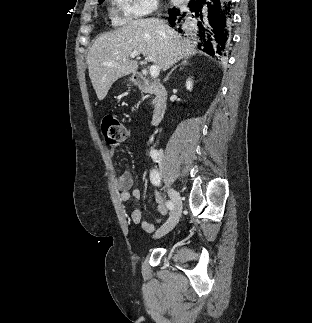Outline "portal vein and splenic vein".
<instances>
[{"instance_id":"1","label":"portal vein and splenic vein","mask_w":312,"mask_h":323,"mask_svg":"<svg viewBox=\"0 0 312 323\" xmlns=\"http://www.w3.org/2000/svg\"><path fill=\"white\" fill-rule=\"evenodd\" d=\"M140 54H142V52H132V54H130V58H136V56H140ZM111 64H113V62H111ZM159 74H160V68H158V66H151L150 76H152V78H157Z\"/></svg>"}]
</instances>
